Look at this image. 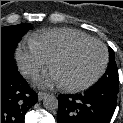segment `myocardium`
I'll return each mask as SVG.
<instances>
[{"instance_id": "1", "label": "myocardium", "mask_w": 123, "mask_h": 123, "mask_svg": "<svg viewBox=\"0 0 123 123\" xmlns=\"http://www.w3.org/2000/svg\"><path fill=\"white\" fill-rule=\"evenodd\" d=\"M89 43H95L98 44L102 50H103V62L101 64L100 69L98 72L87 82L79 85H64L62 84L61 87L69 92H80L84 91L90 87H92L95 83L99 81V79L103 76V74L106 71V68L108 66V61H109V54H108V49L106 45L101 42L100 40L90 38V39H84V40H79L76 41L70 45H68L66 48L58 52L50 61L51 68L54 67V65L59 61L62 60L66 57H68L70 54H72L77 48L89 44Z\"/></svg>"}]
</instances>
